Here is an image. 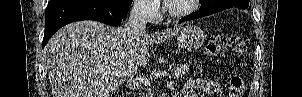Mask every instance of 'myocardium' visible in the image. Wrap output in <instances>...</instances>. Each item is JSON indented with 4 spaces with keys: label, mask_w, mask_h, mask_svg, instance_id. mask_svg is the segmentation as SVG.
Instances as JSON below:
<instances>
[{
    "label": "myocardium",
    "mask_w": 302,
    "mask_h": 97,
    "mask_svg": "<svg viewBox=\"0 0 302 97\" xmlns=\"http://www.w3.org/2000/svg\"><path fill=\"white\" fill-rule=\"evenodd\" d=\"M190 2L191 3L187 8L175 11L171 8L169 2L166 1L164 3V10L166 14L172 19L184 18L197 10L200 0H190Z\"/></svg>",
    "instance_id": "obj_1"
}]
</instances>
